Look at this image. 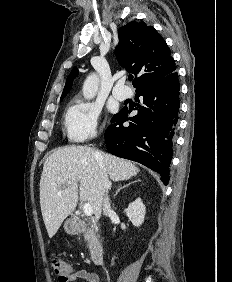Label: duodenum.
I'll return each mask as SVG.
<instances>
[{"mask_svg":"<svg viewBox=\"0 0 232 282\" xmlns=\"http://www.w3.org/2000/svg\"><path fill=\"white\" fill-rule=\"evenodd\" d=\"M74 227L77 231H84L85 226L79 219H74ZM90 256L94 264L101 265L104 259V248L100 241L95 240L90 245Z\"/></svg>","mask_w":232,"mask_h":282,"instance_id":"410a0bca","label":"duodenum"}]
</instances>
